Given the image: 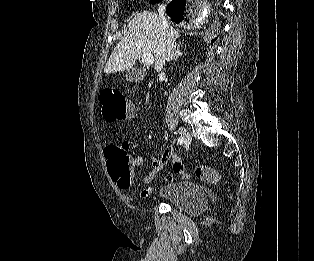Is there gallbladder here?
Wrapping results in <instances>:
<instances>
[{
    "instance_id": "1",
    "label": "gallbladder",
    "mask_w": 314,
    "mask_h": 261,
    "mask_svg": "<svg viewBox=\"0 0 314 261\" xmlns=\"http://www.w3.org/2000/svg\"><path fill=\"white\" fill-rule=\"evenodd\" d=\"M146 75V70L143 68H132L126 71L124 77L126 81L129 82H139Z\"/></svg>"
}]
</instances>
